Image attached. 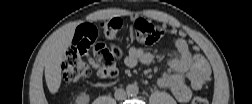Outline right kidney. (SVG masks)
<instances>
[{"label": "right kidney", "instance_id": "ca27d5eb", "mask_svg": "<svg viewBox=\"0 0 252 104\" xmlns=\"http://www.w3.org/2000/svg\"><path fill=\"white\" fill-rule=\"evenodd\" d=\"M89 100H90L89 95H87L85 93H82L81 95L77 96V98H76V102L79 103V104L88 103Z\"/></svg>", "mask_w": 252, "mask_h": 104}]
</instances>
